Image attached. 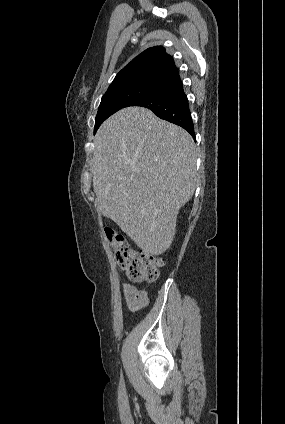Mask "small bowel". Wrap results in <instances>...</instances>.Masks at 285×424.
I'll use <instances>...</instances> for the list:
<instances>
[{
	"instance_id": "1",
	"label": "small bowel",
	"mask_w": 285,
	"mask_h": 424,
	"mask_svg": "<svg viewBox=\"0 0 285 424\" xmlns=\"http://www.w3.org/2000/svg\"><path fill=\"white\" fill-rule=\"evenodd\" d=\"M122 290L126 307L130 312H136L148 305L149 299L145 291L128 283L123 284Z\"/></svg>"
}]
</instances>
